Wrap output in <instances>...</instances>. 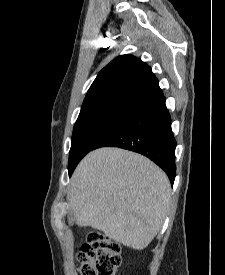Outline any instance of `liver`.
<instances>
[{"mask_svg": "<svg viewBox=\"0 0 225 275\" xmlns=\"http://www.w3.org/2000/svg\"><path fill=\"white\" fill-rule=\"evenodd\" d=\"M171 198L167 175L148 158L100 148L76 167L68 192L74 221L124 246L142 250L157 235Z\"/></svg>", "mask_w": 225, "mask_h": 275, "instance_id": "6515ba94", "label": "liver"}]
</instances>
